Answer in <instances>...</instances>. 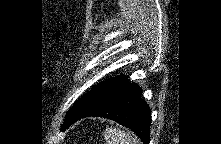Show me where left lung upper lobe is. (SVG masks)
Wrapping results in <instances>:
<instances>
[{
    "label": "left lung upper lobe",
    "mask_w": 221,
    "mask_h": 144,
    "mask_svg": "<svg viewBox=\"0 0 221 144\" xmlns=\"http://www.w3.org/2000/svg\"><path fill=\"white\" fill-rule=\"evenodd\" d=\"M119 77L120 76H117L112 79L101 82L97 87L92 89L84 97L78 100L72 107V109H70L67 113V116L65 117L64 123L62 125V130H64L70 124L71 121L84 114L94 105H96Z\"/></svg>",
    "instance_id": "obj_1"
}]
</instances>
